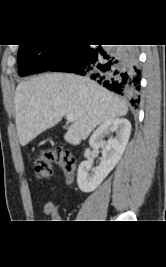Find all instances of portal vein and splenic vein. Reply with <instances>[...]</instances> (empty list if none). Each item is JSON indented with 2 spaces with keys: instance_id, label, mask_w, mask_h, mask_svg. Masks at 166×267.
<instances>
[{
  "instance_id": "1",
  "label": "portal vein and splenic vein",
  "mask_w": 166,
  "mask_h": 267,
  "mask_svg": "<svg viewBox=\"0 0 166 267\" xmlns=\"http://www.w3.org/2000/svg\"><path fill=\"white\" fill-rule=\"evenodd\" d=\"M66 118L68 122H73L75 120V116L73 114H67Z\"/></svg>"
}]
</instances>
